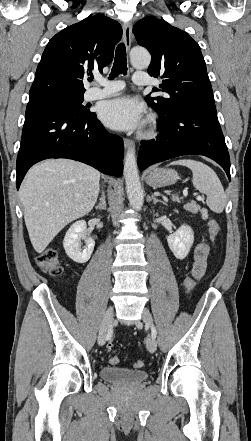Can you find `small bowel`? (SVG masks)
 <instances>
[{
    "label": "small bowel",
    "instance_id": "obj_1",
    "mask_svg": "<svg viewBox=\"0 0 251 441\" xmlns=\"http://www.w3.org/2000/svg\"><path fill=\"white\" fill-rule=\"evenodd\" d=\"M209 250V244L204 242L199 243L195 248L192 274L196 279H200L205 272Z\"/></svg>",
    "mask_w": 251,
    "mask_h": 441
}]
</instances>
